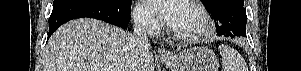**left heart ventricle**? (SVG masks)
<instances>
[{"label": "left heart ventricle", "instance_id": "1", "mask_svg": "<svg viewBox=\"0 0 301 71\" xmlns=\"http://www.w3.org/2000/svg\"><path fill=\"white\" fill-rule=\"evenodd\" d=\"M201 26L199 15L184 3H181V9L178 18L172 29L181 33H195Z\"/></svg>", "mask_w": 301, "mask_h": 71}]
</instances>
